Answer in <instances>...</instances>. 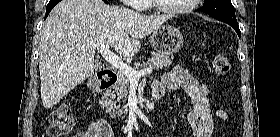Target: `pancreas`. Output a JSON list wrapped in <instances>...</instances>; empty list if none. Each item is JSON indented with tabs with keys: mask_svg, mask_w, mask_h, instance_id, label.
Here are the masks:
<instances>
[{
	"mask_svg": "<svg viewBox=\"0 0 280 137\" xmlns=\"http://www.w3.org/2000/svg\"><path fill=\"white\" fill-rule=\"evenodd\" d=\"M171 64V59L168 55H161L159 53H152L151 60L147 63H137L134 65L133 69L146 68L149 66L150 68L159 70L164 67H167ZM129 83L130 80L123 73H120L118 76V81L113 87L112 92H107L104 95V99L102 106L106 108L107 112L110 113V116L114 118L116 115L121 117L122 114L126 115L128 113V106H121V101L125 102L126 97L129 91ZM125 117V116H124ZM122 117V118H124Z\"/></svg>",
	"mask_w": 280,
	"mask_h": 137,
	"instance_id": "1",
	"label": "pancreas"
}]
</instances>
